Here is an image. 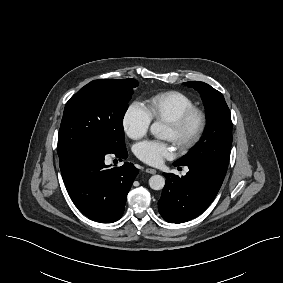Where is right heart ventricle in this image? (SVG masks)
Instances as JSON below:
<instances>
[{
  "label": "right heart ventricle",
  "instance_id": "1",
  "mask_svg": "<svg viewBox=\"0 0 283 283\" xmlns=\"http://www.w3.org/2000/svg\"><path fill=\"white\" fill-rule=\"evenodd\" d=\"M193 106V100L177 90L155 94L147 99L145 105L151 120L164 122L176 118Z\"/></svg>",
  "mask_w": 283,
  "mask_h": 283
}]
</instances>
